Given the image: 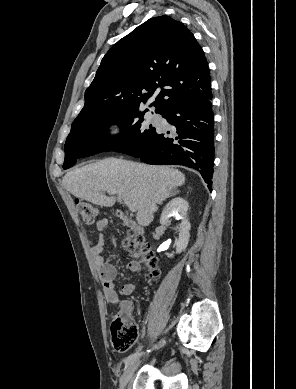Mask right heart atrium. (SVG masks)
Returning a JSON list of instances; mask_svg holds the SVG:
<instances>
[{
  "mask_svg": "<svg viewBox=\"0 0 296 389\" xmlns=\"http://www.w3.org/2000/svg\"><path fill=\"white\" fill-rule=\"evenodd\" d=\"M117 130V126L115 124H111L107 127V132L110 134L115 133Z\"/></svg>",
  "mask_w": 296,
  "mask_h": 389,
  "instance_id": "d8ad5b80",
  "label": "right heart atrium"
}]
</instances>
